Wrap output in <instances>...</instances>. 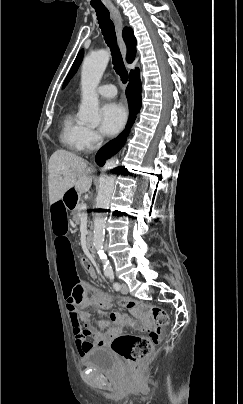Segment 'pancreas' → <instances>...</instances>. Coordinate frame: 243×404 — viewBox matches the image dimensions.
<instances>
[{
    "mask_svg": "<svg viewBox=\"0 0 243 404\" xmlns=\"http://www.w3.org/2000/svg\"><path fill=\"white\" fill-rule=\"evenodd\" d=\"M81 206L82 204H79V206H77V208L74 210L73 220L75 224H80L81 218H86L87 216L85 210H81ZM88 234H91V232H88Z\"/></svg>",
    "mask_w": 243,
    "mask_h": 404,
    "instance_id": "1",
    "label": "pancreas"
}]
</instances>
